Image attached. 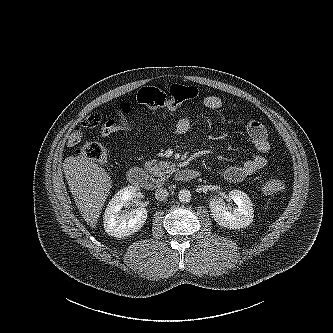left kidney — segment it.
Instances as JSON below:
<instances>
[{"label": "left kidney", "mask_w": 333, "mask_h": 333, "mask_svg": "<svg viewBox=\"0 0 333 333\" xmlns=\"http://www.w3.org/2000/svg\"><path fill=\"white\" fill-rule=\"evenodd\" d=\"M229 197L236 204L228 208L222 199L214 197L209 203L211 215L222 227L241 229L249 226L253 221V205L247 194L240 190H232Z\"/></svg>", "instance_id": "5707ae66"}]
</instances>
